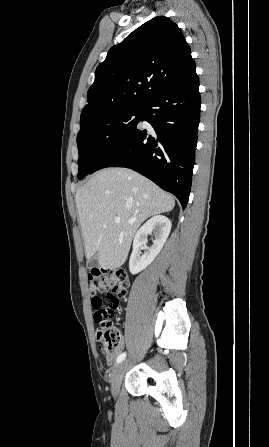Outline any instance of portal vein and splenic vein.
Segmentation results:
<instances>
[{
  "label": "portal vein and splenic vein",
  "mask_w": 269,
  "mask_h": 447,
  "mask_svg": "<svg viewBox=\"0 0 269 447\" xmlns=\"http://www.w3.org/2000/svg\"><path fill=\"white\" fill-rule=\"evenodd\" d=\"M114 222H116V224H119V222H121V218H114ZM134 222H136V220H128V224H134Z\"/></svg>",
  "instance_id": "1"
}]
</instances>
